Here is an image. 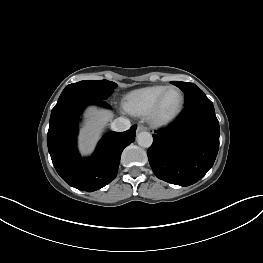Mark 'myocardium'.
I'll list each match as a JSON object with an SVG mask.
<instances>
[{"instance_id": "obj_1", "label": "myocardium", "mask_w": 263, "mask_h": 263, "mask_svg": "<svg viewBox=\"0 0 263 263\" xmlns=\"http://www.w3.org/2000/svg\"><path fill=\"white\" fill-rule=\"evenodd\" d=\"M172 90H176L180 93V96H181L180 105L171 114L163 116L161 114L162 104L164 102L166 95ZM184 104H185V95L183 91L176 86H169L164 90V92L156 100L155 104L153 105L151 111L148 114V120L155 127L166 126L170 124L171 122H173L181 114L184 108Z\"/></svg>"}]
</instances>
